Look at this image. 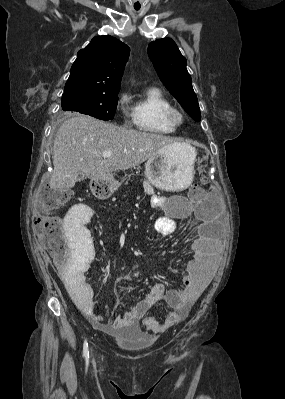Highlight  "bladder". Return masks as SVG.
<instances>
[{"mask_svg":"<svg viewBox=\"0 0 285 399\" xmlns=\"http://www.w3.org/2000/svg\"><path fill=\"white\" fill-rule=\"evenodd\" d=\"M115 340L130 352L144 351L148 348L150 343V339L142 333H138L134 337H120Z\"/></svg>","mask_w":285,"mask_h":399,"instance_id":"obj_1","label":"bladder"}]
</instances>
